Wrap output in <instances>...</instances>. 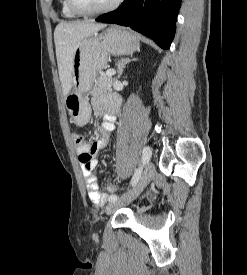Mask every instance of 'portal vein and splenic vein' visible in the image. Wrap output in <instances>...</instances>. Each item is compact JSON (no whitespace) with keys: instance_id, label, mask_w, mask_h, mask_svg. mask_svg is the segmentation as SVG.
I'll list each match as a JSON object with an SVG mask.
<instances>
[{"instance_id":"1","label":"portal vein and splenic vein","mask_w":247,"mask_h":275,"mask_svg":"<svg viewBox=\"0 0 247 275\" xmlns=\"http://www.w3.org/2000/svg\"><path fill=\"white\" fill-rule=\"evenodd\" d=\"M115 73H116L115 70L109 69L106 71L105 75L108 77H111V76L115 75Z\"/></svg>"}]
</instances>
